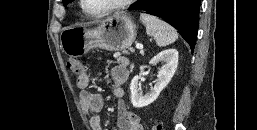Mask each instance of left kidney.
Wrapping results in <instances>:
<instances>
[{
	"instance_id": "5707ae66",
	"label": "left kidney",
	"mask_w": 257,
	"mask_h": 130,
	"mask_svg": "<svg viewBox=\"0 0 257 130\" xmlns=\"http://www.w3.org/2000/svg\"><path fill=\"white\" fill-rule=\"evenodd\" d=\"M159 62H163L164 65L158 71L157 83L149 93L144 96L142 95L138 75L132 79L130 91L131 103L134 107L141 108L148 106L158 98L160 92L169 84L177 69L178 51L173 48L164 50L152 58L149 63L157 64Z\"/></svg>"
}]
</instances>
